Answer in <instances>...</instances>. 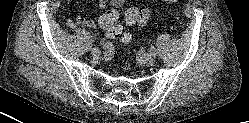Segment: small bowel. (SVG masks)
<instances>
[{"label": "small bowel", "instance_id": "c3829d8e", "mask_svg": "<svg viewBox=\"0 0 249 123\" xmlns=\"http://www.w3.org/2000/svg\"><path fill=\"white\" fill-rule=\"evenodd\" d=\"M66 3H71L73 0H64ZM83 1H90V0H83ZM107 0H99L98 1V8L101 10L104 8L106 5ZM66 25L69 28H74L75 26H82L85 28H94L96 26V22L92 19H86L83 17H76L75 19L73 18H68L66 21Z\"/></svg>", "mask_w": 249, "mask_h": 123}]
</instances>
